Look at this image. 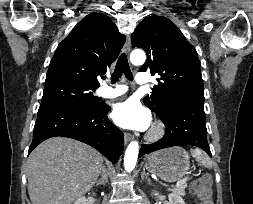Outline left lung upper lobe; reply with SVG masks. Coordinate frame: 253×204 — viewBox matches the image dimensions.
I'll list each match as a JSON object with an SVG mask.
<instances>
[{"instance_id":"5c2ea615","label":"left lung upper lobe","mask_w":253,"mask_h":204,"mask_svg":"<svg viewBox=\"0 0 253 204\" xmlns=\"http://www.w3.org/2000/svg\"><path fill=\"white\" fill-rule=\"evenodd\" d=\"M131 43L147 54L140 71L159 76L158 86L143 101L160 118L177 107L204 103L197 52L172 21L166 17H146L132 33Z\"/></svg>"}]
</instances>
